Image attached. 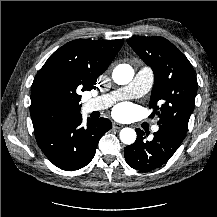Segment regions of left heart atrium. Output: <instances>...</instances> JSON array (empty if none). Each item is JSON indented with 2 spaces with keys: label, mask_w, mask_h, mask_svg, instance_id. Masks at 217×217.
I'll return each instance as SVG.
<instances>
[{
  "label": "left heart atrium",
  "mask_w": 217,
  "mask_h": 217,
  "mask_svg": "<svg viewBox=\"0 0 217 217\" xmlns=\"http://www.w3.org/2000/svg\"><path fill=\"white\" fill-rule=\"evenodd\" d=\"M114 112L118 117H125L131 112V108L127 105H119Z\"/></svg>",
  "instance_id": "left-heart-atrium-1"
}]
</instances>
